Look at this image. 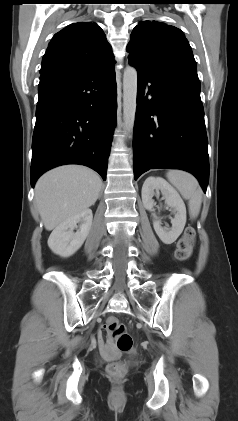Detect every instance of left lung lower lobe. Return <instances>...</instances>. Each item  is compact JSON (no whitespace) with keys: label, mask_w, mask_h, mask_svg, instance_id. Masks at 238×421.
I'll return each instance as SVG.
<instances>
[{"label":"left lung lower lobe","mask_w":238,"mask_h":421,"mask_svg":"<svg viewBox=\"0 0 238 421\" xmlns=\"http://www.w3.org/2000/svg\"><path fill=\"white\" fill-rule=\"evenodd\" d=\"M136 69L135 180L150 169H182L196 176L206 192L209 180L208 140L197 71L183 69L152 74Z\"/></svg>","instance_id":"obj_1"}]
</instances>
